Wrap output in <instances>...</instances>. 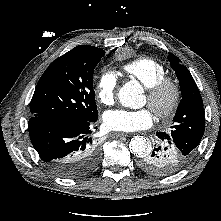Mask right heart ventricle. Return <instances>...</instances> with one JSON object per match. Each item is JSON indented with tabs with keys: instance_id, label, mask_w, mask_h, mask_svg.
I'll list each match as a JSON object with an SVG mask.
<instances>
[{
	"instance_id": "e07e8e85",
	"label": "right heart ventricle",
	"mask_w": 221,
	"mask_h": 221,
	"mask_svg": "<svg viewBox=\"0 0 221 221\" xmlns=\"http://www.w3.org/2000/svg\"><path fill=\"white\" fill-rule=\"evenodd\" d=\"M123 71L128 76L137 79L146 88L167 76L165 66L149 57H140L126 63Z\"/></svg>"
}]
</instances>
